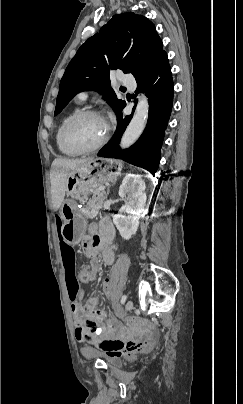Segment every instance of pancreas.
Instances as JSON below:
<instances>
[{
    "label": "pancreas",
    "instance_id": "obj_1",
    "mask_svg": "<svg viewBox=\"0 0 243 404\" xmlns=\"http://www.w3.org/2000/svg\"><path fill=\"white\" fill-rule=\"evenodd\" d=\"M101 188V186L99 187ZM93 196L89 202H87V206L84 208V213L87 218H96L99 210H101V206L105 200L103 190H99L98 193H92Z\"/></svg>",
    "mask_w": 243,
    "mask_h": 404
}]
</instances>
